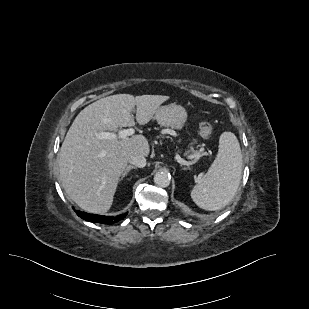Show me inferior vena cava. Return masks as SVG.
<instances>
[{"label": "inferior vena cava", "mask_w": 309, "mask_h": 309, "mask_svg": "<svg viewBox=\"0 0 309 309\" xmlns=\"http://www.w3.org/2000/svg\"><path fill=\"white\" fill-rule=\"evenodd\" d=\"M129 163L136 167L143 168L146 166V159L143 155L134 154L129 158Z\"/></svg>", "instance_id": "inferior-vena-cava-1"}]
</instances>
